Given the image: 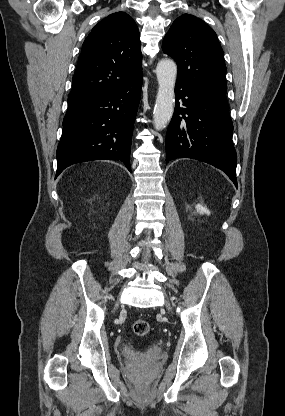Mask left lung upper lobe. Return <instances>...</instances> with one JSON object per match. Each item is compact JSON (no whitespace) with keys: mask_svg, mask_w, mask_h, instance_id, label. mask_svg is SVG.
I'll return each instance as SVG.
<instances>
[{"mask_svg":"<svg viewBox=\"0 0 285 416\" xmlns=\"http://www.w3.org/2000/svg\"><path fill=\"white\" fill-rule=\"evenodd\" d=\"M163 52L178 65L177 81L226 100V65L216 33L201 19L183 14L166 34Z\"/></svg>","mask_w":285,"mask_h":416,"instance_id":"5c2ea615","label":"left lung upper lobe"}]
</instances>
